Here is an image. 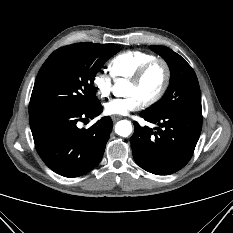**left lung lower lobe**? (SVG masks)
Here are the masks:
<instances>
[{"mask_svg":"<svg viewBox=\"0 0 233 233\" xmlns=\"http://www.w3.org/2000/svg\"><path fill=\"white\" fill-rule=\"evenodd\" d=\"M141 117L157 124L153 131L134 122L131 147L135 162L156 175H169L191 159L202 129V111L180 109L160 116L144 111Z\"/></svg>","mask_w":233,"mask_h":233,"instance_id":"obj_1","label":"left lung lower lobe"}]
</instances>
